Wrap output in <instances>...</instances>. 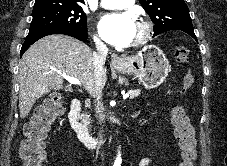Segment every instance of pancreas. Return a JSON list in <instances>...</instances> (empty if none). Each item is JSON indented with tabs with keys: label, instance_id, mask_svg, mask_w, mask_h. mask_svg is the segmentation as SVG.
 <instances>
[{
	"label": "pancreas",
	"instance_id": "obj_1",
	"mask_svg": "<svg viewBox=\"0 0 227 166\" xmlns=\"http://www.w3.org/2000/svg\"><path fill=\"white\" fill-rule=\"evenodd\" d=\"M128 93H129L130 98L133 99V98L137 97L140 94V90H130ZM90 122H91L90 115L83 114L82 115V123L84 125H89Z\"/></svg>",
	"mask_w": 227,
	"mask_h": 166
}]
</instances>
